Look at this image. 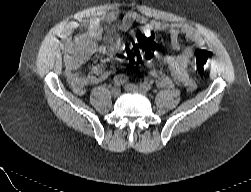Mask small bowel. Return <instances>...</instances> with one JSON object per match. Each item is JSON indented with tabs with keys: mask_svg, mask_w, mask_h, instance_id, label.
I'll list each match as a JSON object with an SVG mask.
<instances>
[{
	"mask_svg": "<svg viewBox=\"0 0 251 192\" xmlns=\"http://www.w3.org/2000/svg\"><path fill=\"white\" fill-rule=\"evenodd\" d=\"M140 20L137 13L130 11L123 16L121 26L123 29H129ZM77 26V22H70L66 26L60 35L59 47L63 54L67 83L75 94L83 95L88 86L105 80L112 70L107 69L102 61L94 62L86 75H79L78 68L96 52H117L120 43L114 41L112 34L99 20H90L87 30L73 37L72 33ZM144 30L148 33L156 31L169 33L175 52L164 57L171 70L170 76L156 68L150 70L149 74L156 80L157 86L168 89L179 83L188 91L194 90L196 84L191 76L190 62L196 49L206 42L205 36L188 24L159 20L147 22ZM182 36H185L187 45L183 43Z\"/></svg>",
	"mask_w": 251,
	"mask_h": 192,
	"instance_id": "small-bowel-1",
	"label": "small bowel"
}]
</instances>
